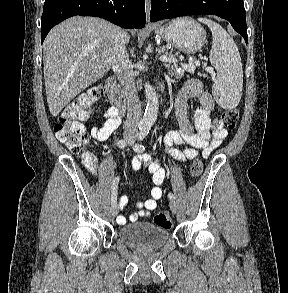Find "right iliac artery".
Wrapping results in <instances>:
<instances>
[{
	"label": "right iliac artery",
	"mask_w": 288,
	"mask_h": 293,
	"mask_svg": "<svg viewBox=\"0 0 288 293\" xmlns=\"http://www.w3.org/2000/svg\"><path fill=\"white\" fill-rule=\"evenodd\" d=\"M119 148H124L126 146V141L124 139H121L118 141L117 143ZM118 182H119V177H116L113 180L112 183V188H111V204L112 206L115 205L117 203V186H118Z\"/></svg>",
	"instance_id": "1"
}]
</instances>
